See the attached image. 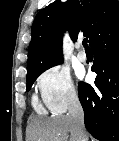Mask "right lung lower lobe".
<instances>
[{"label":"right lung lower lobe","instance_id":"1","mask_svg":"<svg viewBox=\"0 0 119 141\" xmlns=\"http://www.w3.org/2000/svg\"><path fill=\"white\" fill-rule=\"evenodd\" d=\"M90 46L95 88L80 82L79 100L89 133L100 141H119V15L105 23Z\"/></svg>","mask_w":119,"mask_h":141}]
</instances>
